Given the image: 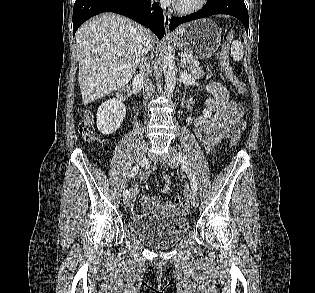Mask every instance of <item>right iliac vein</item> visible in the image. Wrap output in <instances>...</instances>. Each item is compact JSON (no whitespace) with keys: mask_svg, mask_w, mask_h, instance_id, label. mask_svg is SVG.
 Masks as SVG:
<instances>
[{"mask_svg":"<svg viewBox=\"0 0 315 293\" xmlns=\"http://www.w3.org/2000/svg\"><path fill=\"white\" fill-rule=\"evenodd\" d=\"M147 149H148V142L142 141V143L138 149V153H137V162L139 164H141L143 162V159L145 157ZM133 200H134L133 193H129V195H127V197H125V199H124V205L126 207H128L133 202Z\"/></svg>","mask_w":315,"mask_h":293,"instance_id":"1","label":"right iliac vein"}]
</instances>
